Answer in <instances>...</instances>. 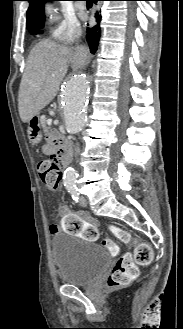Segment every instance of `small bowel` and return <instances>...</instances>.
I'll use <instances>...</instances> for the list:
<instances>
[{
  "label": "small bowel",
  "mask_w": 183,
  "mask_h": 329,
  "mask_svg": "<svg viewBox=\"0 0 183 329\" xmlns=\"http://www.w3.org/2000/svg\"><path fill=\"white\" fill-rule=\"evenodd\" d=\"M43 151L46 154H53V143L47 142ZM61 219H72L73 216L80 218L81 220H63V231L66 236H80L81 242H96L97 236L100 235L99 225H97V220L86 212H80L74 214L70 209L61 205L58 209ZM61 230V225L52 223L49 226V234L55 236Z\"/></svg>",
  "instance_id": "1"
}]
</instances>
